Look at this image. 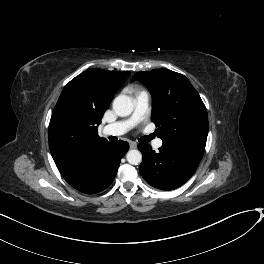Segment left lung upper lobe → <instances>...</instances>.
<instances>
[{
	"label": "left lung upper lobe",
	"mask_w": 264,
	"mask_h": 264,
	"mask_svg": "<svg viewBox=\"0 0 264 264\" xmlns=\"http://www.w3.org/2000/svg\"><path fill=\"white\" fill-rule=\"evenodd\" d=\"M152 95V121L159 126L163 144L188 145L205 150L208 115L189 80L174 71H142L134 74Z\"/></svg>",
	"instance_id": "obj_1"
}]
</instances>
